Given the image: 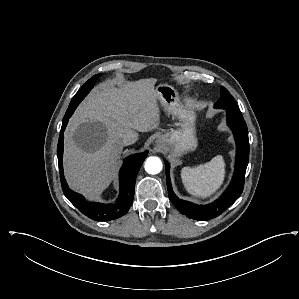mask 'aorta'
I'll use <instances>...</instances> for the list:
<instances>
[{
    "instance_id": "762f6f07",
    "label": "aorta",
    "mask_w": 299,
    "mask_h": 299,
    "mask_svg": "<svg viewBox=\"0 0 299 299\" xmlns=\"http://www.w3.org/2000/svg\"><path fill=\"white\" fill-rule=\"evenodd\" d=\"M162 161L158 157H149L145 162V171L149 174H158L162 170Z\"/></svg>"
}]
</instances>
